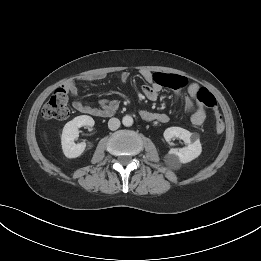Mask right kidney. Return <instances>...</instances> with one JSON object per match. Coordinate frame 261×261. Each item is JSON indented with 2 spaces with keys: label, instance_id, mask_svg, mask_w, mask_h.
<instances>
[{
  "label": "right kidney",
  "instance_id": "obj_1",
  "mask_svg": "<svg viewBox=\"0 0 261 261\" xmlns=\"http://www.w3.org/2000/svg\"><path fill=\"white\" fill-rule=\"evenodd\" d=\"M94 120L87 115L75 117L73 120L65 124L61 136V144L64 155L67 158L79 157L86 149V143L75 144L74 140L78 138V129L82 126H94ZM89 147H92L90 144Z\"/></svg>",
  "mask_w": 261,
  "mask_h": 261
}]
</instances>
